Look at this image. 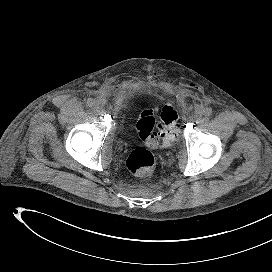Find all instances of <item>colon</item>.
I'll return each instance as SVG.
<instances>
[{
  "label": "colon",
  "mask_w": 272,
  "mask_h": 272,
  "mask_svg": "<svg viewBox=\"0 0 272 272\" xmlns=\"http://www.w3.org/2000/svg\"><path fill=\"white\" fill-rule=\"evenodd\" d=\"M155 115V108H148L141 112L136 123L138 134L150 147H168L178 132L177 112L171 106H164L157 130H155ZM126 166L132 174L146 177L151 175L154 170L155 158L149 150L137 148L128 156Z\"/></svg>",
  "instance_id": "colon-1"
}]
</instances>
